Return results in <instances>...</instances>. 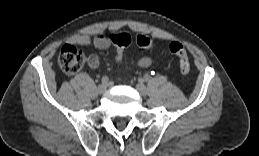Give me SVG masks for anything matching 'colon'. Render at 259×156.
<instances>
[{
    "mask_svg": "<svg viewBox=\"0 0 259 156\" xmlns=\"http://www.w3.org/2000/svg\"><path fill=\"white\" fill-rule=\"evenodd\" d=\"M113 45L116 47V60L122 61L125 48L134 42L143 49H151L153 46L152 40L142 34L132 36L128 33H118L110 36ZM170 52L179 60L180 72L183 76H187L190 71V62L187 51L182 43L174 41L169 45ZM58 64L66 75H73L81 70L85 64L83 53L74 45L67 44L62 47L58 55Z\"/></svg>",
    "mask_w": 259,
    "mask_h": 156,
    "instance_id": "5ec220e1",
    "label": "colon"
}]
</instances>
